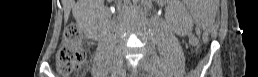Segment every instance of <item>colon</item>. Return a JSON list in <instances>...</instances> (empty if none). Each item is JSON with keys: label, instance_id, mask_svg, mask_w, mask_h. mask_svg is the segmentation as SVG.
<instances>
[{"label": "colon", "instance_id": "colon-1", "mask_svg": "<svg viewBox=\"0 0 258 77\" xmlns=\"http://www.w3.org/2000/svg\"><path fill=\"white\" fill-rule=\"evenodd\" d=\"M85 58L81 34L78 27L72 24L65 29L63 41L56 53L58 71L63 75L71 74L82 66Z\"/></svg>", "mask_w": 258, "mask_h": 77}]
</instances>
